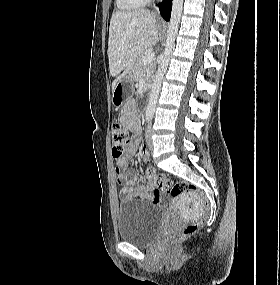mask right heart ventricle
Masks as SVG:
<instances>
[{"label": "right heart ventricle", "mask_w": 280, "mask_h": 285, "mask_svg": "<svg viewBox=\"0 0 280 285\" xmlns=\"http://www.w3.org/2000/svg\"><path fill=\"white\" fill-rule=\"evenodd\" d=\"M148 0H116L117 7L122 11H132L145 5Z\"/></svg>", "instance_id": "1"}]
</instances>
